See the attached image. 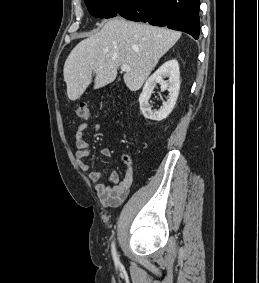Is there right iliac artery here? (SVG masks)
Instances as JSON below:
<instances>
[{
    "label": "right iliac artery",
    "mask_w": 259,
    "mask_h": 283,
    "mask_svg": "<svg viewBox=\"0 0 259 283\" xmlns=\"http://www.w3.org/2000/svg\"><path fill=\"white\" fill-rule=\"evenodd\" d=\"M112 256H113L114 262L116 264L119 263V258H118L117 253H116V248H115L114 242L112 243Z\"/></svg>",
    "instance_id": "obj_1"
}]
</instances>
